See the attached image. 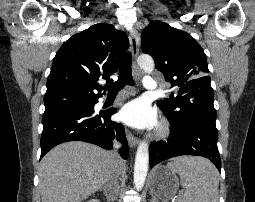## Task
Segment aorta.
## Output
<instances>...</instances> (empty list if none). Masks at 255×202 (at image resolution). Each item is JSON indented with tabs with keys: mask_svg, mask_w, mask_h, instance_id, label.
<instances>
[{
	"mask_svg": "<svg viewBox=\"0 0 255 202\" xmlns=\"http://www.w3.org/2000/svg\"><path fill=\"white\" fill-rule=\"evenodd\" d=\"M137 63L145 73H151L154 70V60L149 55H140ZM148 165L149 147L146 142L142 141L137 148L134 165V185L137 190L142 189L145 184Z\"/></svg>",
	"mask_w": 255,
	"mask_h": 202,
	"instance_id": "aorta-1",
	"label": "aorta"
}]
</instances>
